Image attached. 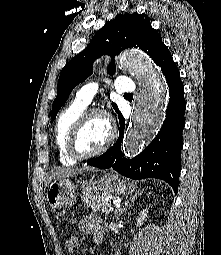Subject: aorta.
Instances as JSON below:
<instances>
[{
  "instance_id": "1",
  "label": "aorta",
  "mask_w": 221,
  "mask_h": 255,
  "mask_svg": "<svg viewBox=\"0 0 221 255\" xmlns=\"http://www.w3.org/2000/svg\"><path fill=\"white\" fill-rule=\"evenodd\" d=\"M119 67L131 73L139 88L123 141L125 157H135L159 131L165 117L167 87L152 60L139 50H128L119 58Z\"/></svg>"
}]
</instances>
